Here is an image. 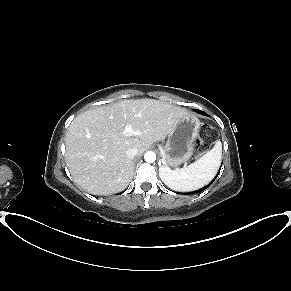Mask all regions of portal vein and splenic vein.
Returning a JSON list of instances; mask_svg holds the SVG:
<instances>
[{"label": "portal vein and splenic vein", "instance_id": "1", "mask_svg": "<svg viewBox=\"0 0 291 291\" xmlns=\"http://www.w3.org/2000/svg\"><path fill=\"white\" fill-rule=\"evenodd\" d=\"M125 133L127 135H136L137 134L129 124L125 125Z\"/></svg>", "mask_w": 291, "mask_h": 291}]
</instances>
